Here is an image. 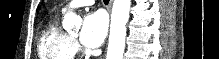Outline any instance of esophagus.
Here are the masks:
<instances>
[{"label":"esophagus","mask_w":219,"mask_h":59,"mask_svg":"<svg viewBox=\"0 0 219 59\" xmlns=\"http://www.w3.org/2000/svg\"><path fill=\"white\" fill-rule=\"evenodd\" d=\"M113 0H110V6H109V11L111 10Z\"/></svg>","instance_id":"obj_1"}]
</instances>
